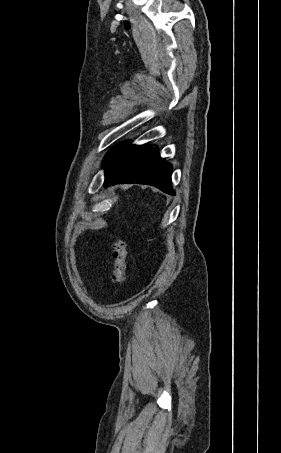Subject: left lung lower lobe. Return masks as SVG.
Returning <instances> with one entry per match:
<instances>
[{"instance_id": "obj_1", "label": "left lung lower lobe", "mask_w": 281, "mask_h": 453, "mask_svg": "<svg viewBox=\"0 0 281 453\" xmlns=\"http://www.w3.org/2000/svg\"><path fill=\"white\" fill-rule=\"evenodd\" d=\"M103 168L106 186L140 183L153 185L171 195L175 194L171 186L172 166L159 157L158 147L122 142L107 153Z\"/></svg>"}]
</instances>
